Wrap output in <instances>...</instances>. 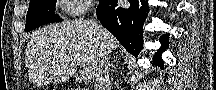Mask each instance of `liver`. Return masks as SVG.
<instances>
[{
    "label": "liver",
    "mask_w": 216,
    "mask_h": 90,
    "mask_svg": "<svg viewBox=\"0 0 216 90\" xmlns=\"http://www.w3.org/2000/svg\"><path fill=\"white\" fill-rule=\"evenodd\" d=\"M102 46L120 48L118 40L92 20H69L35 32L25 54L27 64L37 66L45 82H60L76 74L78 62L83 74L91 76Z\"/></svg>",
    "instance_id": "liver-1"
}]
</instances>
